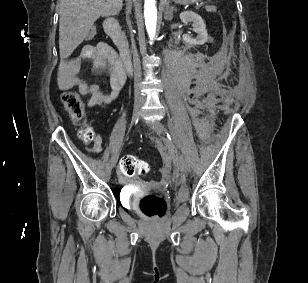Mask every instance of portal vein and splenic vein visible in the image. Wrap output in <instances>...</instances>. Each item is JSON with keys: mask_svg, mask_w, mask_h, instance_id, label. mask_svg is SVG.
<instances>
[{"mask_svg": "<svg viewBox=\"0 0 308 283\" xmlns=\"http://www.w3.org/2000/svg\"><path fill=\"white\" fill-rule=\"evenodd\" d=\"M201 6V4H197L196 9L200 8Z\"/></svg>", "mask_w": 308, "mask_h": 283, "instance_id": "18ae733b", "label": "portal vein and splenic vein"}]
</instances>
